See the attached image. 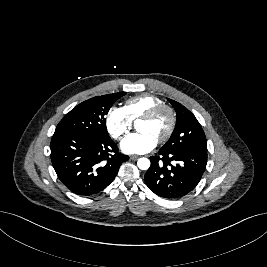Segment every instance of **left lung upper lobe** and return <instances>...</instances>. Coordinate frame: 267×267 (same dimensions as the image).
<instances>
[{
  "label": "left lung upper lobe",
  "instance_id": "obj_1",
  "mask_svg": "<svg viewBox=\"0 0 267 267\" xmlns=\"http://www.w3.org/2000/svg\"><path fill=\"white\" fill-rule=\"evenodd\" d=\"M177 114L175 129L160 149L164 152L194 149L207 152V140L204 131L195 116L180 103L168 99Z\"/></svg>",
  "mask_w": 267,
  "mask_h": 267
}]
</instances>
